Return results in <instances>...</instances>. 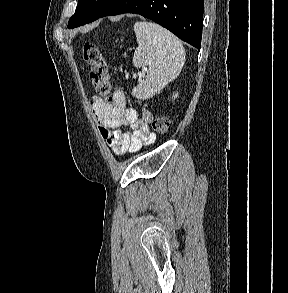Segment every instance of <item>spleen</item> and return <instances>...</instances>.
Segmentation results:
<instances>
[{"label": "spleen", "mask_w": 288, "mask_h": 293, "mask_svg": "<svg viewBox=\"0 0 288 293\" xmlns=\"http://www.w3.org/2000/svg\"><path fill=\"white\" fill-rule=\"evenodd\" d=\"M134 32L138 47L133 64L146 68L147 75L133 88L132 95L148 99L179 75L185 63V50L177 37L158 24L137 22Z\"/></svg>", "instance_id": "obj_1"}]
</instances>
